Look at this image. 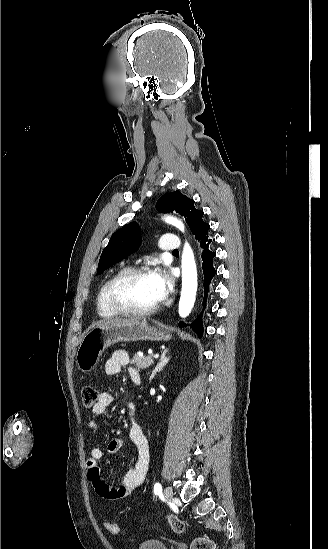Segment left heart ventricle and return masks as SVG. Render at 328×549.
Instances as JSON below:
<instances>
[{"mask_svg":"<svg viewBox=\"0 0 328 549\" xmlns=\"http://www.w3.org/2000/svg\"><path fill=\"white\" fill-rule=\"evenodd\" d=\"M153 272L161 269L160 265L151 266ZM155 269V270H154ZM152 273H143L131 277L118 289L119 299L129 304L117 305L120 308H148L160 300Z\"/></svg>","mask_w":328,"mask_h":549,"instance_id":"left-heart-ventricle-1","label":"left heart ventricle"}]
</instances>
